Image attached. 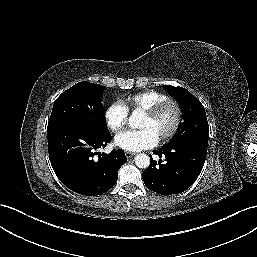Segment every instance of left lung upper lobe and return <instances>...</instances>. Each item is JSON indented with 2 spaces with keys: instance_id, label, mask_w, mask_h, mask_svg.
Wrapping results in <instances>:
<instances>
[{
  "instance_id": "5c2ea615",
  "label": "left lung upper lobe",
  "mask_w": 257,
  "mask_h": 257,
  "mask_svg": "<svg viewBox=\"0 0 257 257\" xmlns=\"http://www.w3.org/2000/svg\"><path fill=\"white\" fill-rule=\"evenodd\" d=\"M164 88L174 97L182 110L183 121L167 146L184 143L208 144L209 126L206 112L201 102L183 87L164 85Z\"/></svg>"
}]
</instances>
